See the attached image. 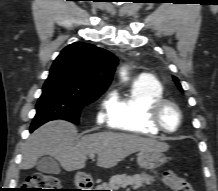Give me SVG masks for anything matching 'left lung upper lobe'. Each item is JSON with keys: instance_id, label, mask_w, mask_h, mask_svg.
<instances>
[{"instance_id": "left-lung-upper-lobe-1", "label": "left lung upper lobe", "mask_w": 218, "mask_h": 191, "mask_svg": "<svg viewBox=\"0 0 218 191\" xmlns=\"http://www.w3.org/2000/svg\"><path fill=\"white\" fill-rule=\"evenodd\" d=\"M174 81H178V79L176 77H174ZM177 86L182 90L181 85L179 83H177Z\"/></svg>"}]
</instances>
